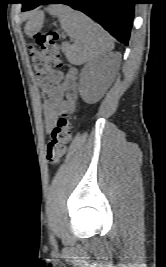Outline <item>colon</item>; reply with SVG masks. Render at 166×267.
Masks as SVG:
<instances>
[{
    "label": "colon",
    "instance_id": "obj_1",
    "mask_svg": "<svg viewBox=\"0 0 166 267\" xmlns=\"http://www.w3.org/2000/svg\"><path fill=\"white\" fill-rule=\"evenodd\" d=\"M61 37L62 34L55 30L38 33L34 36V42L38 49L30 46L31 62L37 73L42 93L46 97H50L61 78V72L52 69V66H61L60 46L58 43ZM71 137L72 122L68 114L63 113L52 129L47 144L46 159L49 164L58 163L65 155Z\"/></svg>",
    "mask_w": 166,
    "mask_h": 267
}]
</instances>
